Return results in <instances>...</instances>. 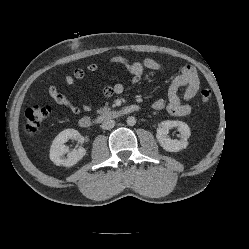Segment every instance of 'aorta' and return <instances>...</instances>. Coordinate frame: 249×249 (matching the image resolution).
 Wrapping results in <instances>:
<instances>
[{"mask_svg": "<svg viewBox=\"0 0 249 249\" xmlns=\"http://www.w3.org/2000/svg\"><path fill=\"white\" fill-rule=\"evenodd\" d=\"M127 124L129 125V126H133V125H135V123H136V119H135V117H133V116H131V117H128L127 118Z\"/></svg>", "mask_w": 249, "mask_h": 249, "instance_id": "1", "label": "aorta"}]
</instances>
